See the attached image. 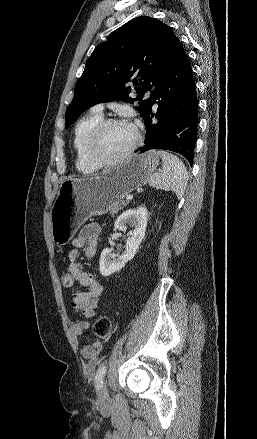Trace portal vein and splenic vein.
Returning <instances> with one entry per match:
<instances>
[{"mask_svg": "<svg viewBox=\"0 0 257 439\" xmlns=\"http://www.w3.org/2000/svg\"><path fill=\"white\" fill-rule=\"evenodd\" d=\"M131 199H133V196H132V195H127V196H126V200H131Z\"/></svg>", "mask_w": 257, "mask_h": 439, "instance_id": "18ae733b", "label": "portal vein and splenic vein"}]
</instances>
